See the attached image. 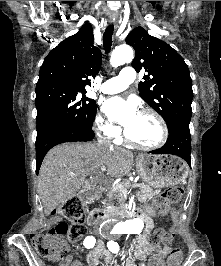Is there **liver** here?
I'll list each match as a JSON object with an SVG mask.
<instances>
[{
	"label": "liver",
	"instance_id": "6515ba94",
	"mask_svg": "<svg viewBox=\"0 0 221 266\" xmlns=\"http://www.w3.org/2000/svg\"><path fill=\"white\" fill-rule=\"evenodd\" d=\"M134 165V155L125 149H109L95 143H64L45 156L38 177V191L45 215L59 204L84 191L86 176L107 167V175L123 177Z\"/></svg>",
	"mask_w": 221,
	"mask_h": 266
}]
</instances>
